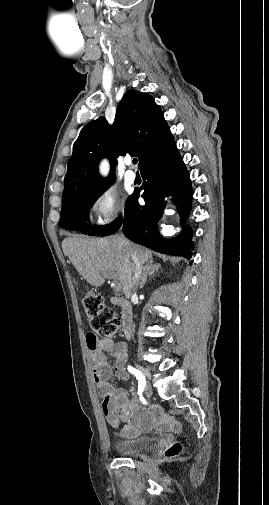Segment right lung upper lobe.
<instances>
[{"label":"right lung upper lobe","instance_id":"1","mask_svg":"<svg viewBox=\"0 0 269 505\" xmlns=\"http://www.w3.org/2000/svg\"><path fill=\"white\" fill-rule=\"evenodd\" d=\"M174 142L161 108L148 94L130 90L120 101L110 126L100 117L83 127L73 145L64 179L62 202L77 193L105 186L98 173V163L108 157L111 174L115 156L129 153L139 158V169L158 152Z\"/></svg>","mask_w":269,"mask_h":505}]
</instances>
